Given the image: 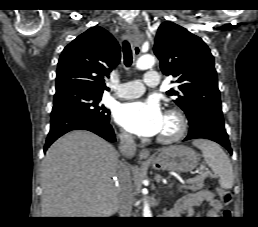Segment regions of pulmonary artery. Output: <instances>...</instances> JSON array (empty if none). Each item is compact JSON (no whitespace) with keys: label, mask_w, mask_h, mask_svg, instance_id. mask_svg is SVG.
Here are the masks:
<instances>
[{"label":"pulmonary artery","mask_w":258,"mask_h":227,"mask_svg":"<svg viewBox=\"0 0 258 227\" xmlns=\"http://www.w3.org/2000/svg\"><path fill=\"white\" fill-rule=\"evenodd\" d=\"M160 78L157 71H148L144 75V80H133L119 85L115 96L120 99L137 98L145 92V85L155 87L159 84Z\"/></svg>","instance_id":"e3ab8cb5"}]
</instances>
